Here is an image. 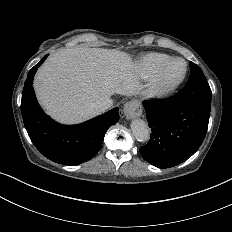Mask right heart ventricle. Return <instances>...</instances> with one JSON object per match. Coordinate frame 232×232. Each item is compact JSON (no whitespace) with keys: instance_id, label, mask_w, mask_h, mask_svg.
Returning <instances> with one entry per match:
<instances>
[{"instance_id":"e07e8e85","label":"right heart ventricle","mask_w":232,"mask_h":232,"mask_svg":"<svg viewBox=\"0 0 232 232\" xmlns=\"http://www.w3.org/2000/svg\"><path fill=\"white\" fill-rule=\"evenodd\" d=\"M171 59L170 55L164 53L150 52L143 54L131 61L125 70V76L135 84L145 83Z\"/></svg>"}]
</instances>
